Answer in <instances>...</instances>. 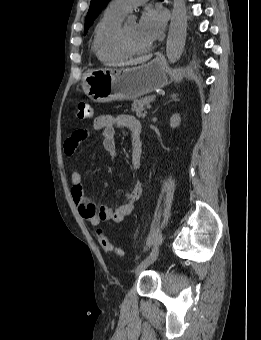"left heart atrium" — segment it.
Here are the masks:
<instances>
[{
	"mask_svg": "<svg viewBox=\"0 0 261 340\" xmlns=\"http://www.w3.org/2000/svg\"><path fill=\"white\" fill-rule=\"evenodd\" d=\"M166 19V13L162 9L147 8L142 13L138 29L150 45L161 37Z\"/></svg>",
	"mask_w": 261,
	"mask_h": 340,
	"instance_id": "left-heart-atrium-1",
	"label": "left heart atrium"
}]
</instances>
